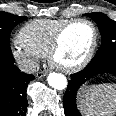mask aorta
I'll return each instance as SVG.
<instances>
[{
	"label": "aorta",
	"instance_id": "aorta-1",
	"mask_svg": "<svg viewBox=\"0 0 116 116\" xmlns=\"http://www.w3.org/2000/svg\"><path fill=\"white\" fill-rule=\"evenodd\" d=\"M48 84L56 89L63 90L67 86V79L64 75L56 72H52L47 77Z\"/></svg>",
	"mask_w": 116,
	"mask_h": 116
}]
</instances>
